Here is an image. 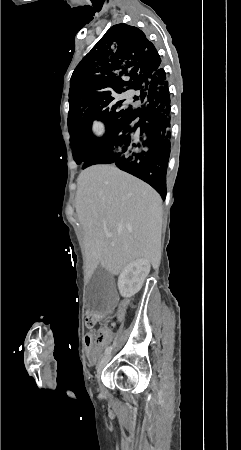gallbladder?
I'll list each match as a JSON object with an SVG mask.
<instances>
[{
  "mask_svg": "<svg viewBox=\"0 0 241 450\" xmlns=\"http://www.w3.org/2000/svg\"><path fill=\"white\" fill-rule=\"evenodd\" d=\"M114 274L98 266L95 270L86 293V309L93 315H112L117 304V284Z\"/></svg>",
  "mask_w": 241,
  "mask_h": 450,
  "instance_id": "gallbladder-1",
  "label": "gallbladder"
}]
</instances>
